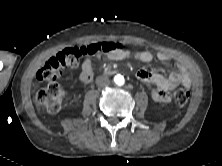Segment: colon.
<instances>
[{
	"mask_svg": "<svg viewBox=\"0 0 222 166\" xmlns=\"http://www.w3.org/2000/svg\"><path fill=\"white\" fill-rule=\"evenodd\" d=\"M121 48L120 44L112 42H102L88 46H75L65 48L55 56L51 57L38 70L37 78L47 81L46 88L40 90L36 95L37 103L44 107L48 112H58L63 105L64 89L57 82L62 70L79 64L82 59L101 58L106 54ZM175 103L179 107L187 104L189 93L184 89H179L174 95Z\"/></svg>",
	"mask_w": 222,
	"mask_h": 166,
	"instance_id": "colon-1",
	"label": "colon"
}]
</instances>
